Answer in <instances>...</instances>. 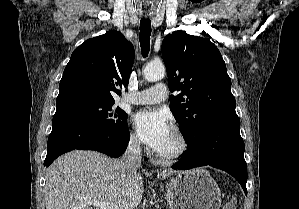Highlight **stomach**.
<instances>
[{"mask_svg": "<svg viewBox=\"0 0 299 209\" xmlns=\"http://www.w3.org/2000/svg\"><path fill=\"white\" fill-rule=\"evenodd\" d=\"M170 209H219L221 191L204 169L179 173L166 186L165 194Z\"/></svg>", "mask_w": 299, "mask_h": 209, "instance_id": "0dacf381", "label": "stomach"}]
</instances>
